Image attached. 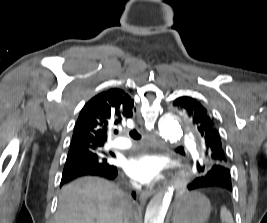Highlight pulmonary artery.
Listing matches in <instances>:
<instances>
[{"label": "pulmonary artery", "mask_w": 267, "mask_h": 223, "mask_svg": "<svg viewBox=\"0 0 267 223\" xmlns=\"http://www.w3.org/2000/svg\"><path fill=\"white\" fill-rule=\"evenodd\" d=\"M113 146L118 149H128L132 146V143L128 138L122 137L116 139L113 143Z\"/></svg>", "instance_id": "obj_1"}]
</instances>
